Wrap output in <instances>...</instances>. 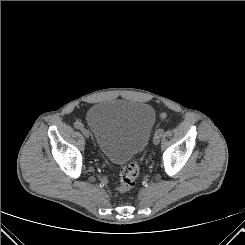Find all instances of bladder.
Returning a JSON list of instances; mask_svg holds the SVG:
<instances>
[{"mask_svg":"<svg viewBox=\"0 0 245 245\" xmlns=\"http://www.w3.org/2000/svg\"><path fill=\"white\" fill-rule=\"evenodd\" d=\"M152 106L142 102L109 100L90 107L87 125L100 153L121 164L141 153L155 124Z\"/></svg>","mask_w":245,"mask_h":245,"instance_id":"31cf9c89","label":"bladder"}]
</instances>
